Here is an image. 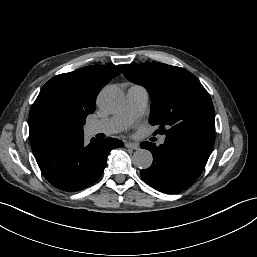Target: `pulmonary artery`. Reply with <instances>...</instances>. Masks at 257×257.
<instances>
[{
    "label": "pulmonary artery",
    "instance_id": "pulmonary-artery-1",
    "mask_svg": "<svg viewBox=\"0 0 257 257\" xmlns=\"http://www.w3.org/2000/svg\"><path fill=\"white\" fill-rule=\"evenodd\" d=\"M149 100L148 91L140 85H132L127 91L124 109L108 119L91 122L87 126L90 135L98 133L114 134L124 130L131 122L138 118L146 109ZM165 137L160 138L163 144Z\"/></svg>",
    "mask_w": 257,
    "mask_h": 257
}]
</instances>
